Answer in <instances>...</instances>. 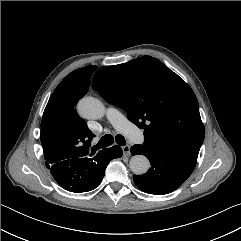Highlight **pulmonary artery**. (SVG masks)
<instances>
[{
	"mask_svg": "<svg viewBox=\"0 0 241 241\" xmlns=\"http://www.w3.org/2000/svg\"><path fill=\"white\" fill-rule=\"evenodd\" d=\"M106 115L119 132L123 133L136 143H141L143 141L139 130L133 124H131L117 109L114 107H108L106 109Z\"/></svg>",
	"mask_w": 241,
	"mask_h": 241,
	"instance_id": "pulmonary-artery-1",
	"label": "pulmonary artery"
}]
</instances>
